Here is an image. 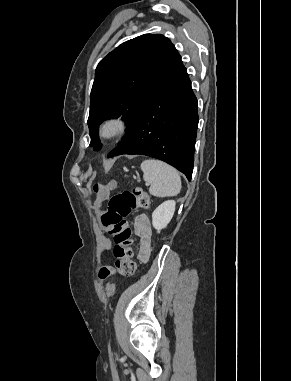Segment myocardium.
<instances>
[{
  "label": "myocardium",
  "instance_id": "f54148a6",
  "mask_svg": "<svg viewBox=\"0 0 291 381\" xmlns=\"http://www.w3.org/2000/svg\"><path fill=\"white\" fill-rule=\"evenodd\" d=\"M129 127L126 118L112 115L102 120L98 128V136L103 141H111L123 136Z\"/></svg>",
  "mask_w": 291,
  "mask_h": 381
}]
</instances>
